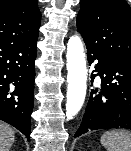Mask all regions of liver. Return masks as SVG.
Segmentation results:
<instances>
[{
  "label": "liver",
  "mask_w": 131,
  "mask_h": 151,
  "mask_svg": "<svg viewBox=\"0 0 131 151\" xmlns=\"http://www.w3.org/2000/svg\"><path fill=\"white\" fill-rule=\"evenodd\" d=\"M14 139L15 133L12 128L0 121V151H9Z\"/></svg>",
  "instance_id": "1"
}]
</instances>
